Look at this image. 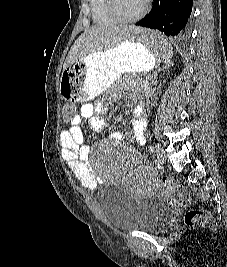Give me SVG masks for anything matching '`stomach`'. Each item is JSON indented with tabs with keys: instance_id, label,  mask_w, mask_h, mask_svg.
<instances>
[{
	"instance_id": "0dacf381",
	"label": "stomach",
	"mask_w": 227,
	"mask_h": 267,
	"mask_svg": "<svg viewBox=\"0 0 227 267\" xmlns=\"http://www.w3.org/2000/svg\"><path fill=\"white\" fill-rule=\"evenodd\" d=\"M158 64L148 47L130 43V39L122 41L68 64L61 77L60 100L64 104H83L99 96L122 75L148 72Z\"/></svg>"
}]
</instances>
